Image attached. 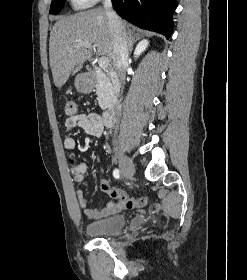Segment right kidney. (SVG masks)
I'll return each mask as SVG.
<instances>
[{
  "instance_id": "ca27d5eb",
  "label": "right kidney",
  "mask_w": 247,
  "mask_h": 280,
  "mask_svg": "<svg viewBox=\"0 0 247 280\" xmlns=\"http://www.w3.org/2000/svg\"><path fill=\"white\" fill-rule=\"evenodd\" d=\"M148 44H149V43H148L147 40H142V41H140V42L138 43V45L136 46V49H135V51H134V57H135V58L139 57L140 54H141L142 52L145 51V49L147 48Z\"/></svg>"
}]
</instances>
